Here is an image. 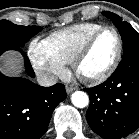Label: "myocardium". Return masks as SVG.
Here are the masks:
<instances>
[{"instance_id": "f54148a6", "label": "myocardium", "mask_w": 139, "mask_h": 139, "mask_svg": "<svg viewBox=\"0 0 139 139\" xmlns=\"http://www.w3.org/2000/svg\"><path fill=\"white\" fill-rule=\"evenodd\" d=\"M106 31H112L117 39V50H116V54L114 56L113 61L103 73L97 76L87 77V76L82 75L79 71V67H80L82 60L88 54V52L92 48L96 39ZM122 54H123V39L119 31L112 26H103L97 31H95L93 34H91L87 38V40L83 43V45L80 47V49L77 51L76 55L73 58L72 67L74 69L75 74L84 82L90 83V84H99V83L106 81L114 74V72L116 71V69L118 68L121 62Z\"/></svg>"}]
</instances>
